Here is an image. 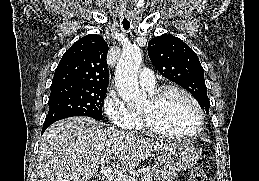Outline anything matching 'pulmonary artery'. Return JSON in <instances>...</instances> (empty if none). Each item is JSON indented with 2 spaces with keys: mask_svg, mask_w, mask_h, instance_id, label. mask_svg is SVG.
Returning a JSON list of instances; mask_svg holds the SVG:
<instances>
[{
  "mask_svg": "<svg viewBox=\"0 0 259 181\" xmlns=\"http://www.w3.org/2000/svg\"><path fill=\"white\" fill-rule=\"evenodd\" d=\"M139 83L144 89L152 90L156 85L153 71L148 68L142 69L140 72Z\"/></svg>",
  "mask_w": 259,
  "mask_h": 181,
  "instance_id": "1",
  "label": "pulmonary artery"
}]
</instances>
